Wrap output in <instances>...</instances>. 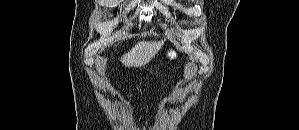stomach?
I'll use <instances>...</instances> for the list:
<instances>
[{
    "instance_id": "1",
    "label": "stomach",
    "mask_w": 299,
    "mask_h": 130,
    "mask_svg": "<svg viewBox=\"0 0 299 130\" xmlns=\"http://www.w3.org/2000/svg\"><path fill=\"white\" fill-rule=\"evenodd\" d=\"M163 56L169 60H176L178 58V52L174 48H167L163 52Z\"/></svg>"
}]
</instances>
